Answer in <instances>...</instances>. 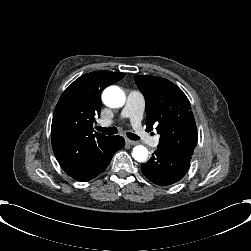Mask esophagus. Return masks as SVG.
<instances>
[{"label": "esophagus", "mask_w": 251, "mask_h": 251, "mask_svg": "<svg viewBox=\"0 0 251 251\" xmlns=\"http://www.w3.org/2000/svg\"><path fill=\"white\" fill-rule=\"evenodd\" d=\"M127 143L129 144V145H131V146H133V145H137L138 144V142L137 141H133V140H127Z\"/></svg>", "instance_id": "1"}]
</instances>
